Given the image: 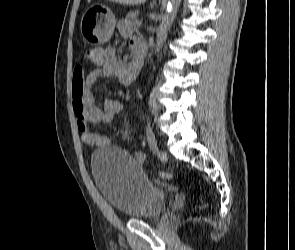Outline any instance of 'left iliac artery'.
<instances>
[{
  "mask_svg": "<svg viewBox=\"0 0 295 250\" xmlns=\"http://www.w3.org/2000/svg\"><path fill=\"white\" fill-rule=\"evenodd\" d=\"M146 134H147V141H148L149 147L153 152H155L157 142H156L155 135H154L149 123H147V125H146Z\"/></svg>",
  "mask_w": 295,
  "mask_h": 250,
  "instance_id": "left-iliac-artery-1",
  "label": "left iliac artery"
}]
</instances>
